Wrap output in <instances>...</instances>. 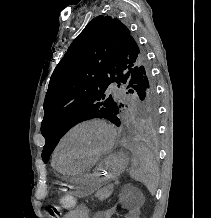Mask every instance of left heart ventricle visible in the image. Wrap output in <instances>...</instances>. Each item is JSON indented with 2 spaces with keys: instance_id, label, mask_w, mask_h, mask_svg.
I'll return each mask as SVG.
<instances>
[{
  "instance_id": "left-heart-ventricle-1",
  "label": "left heart ventricle",
  "mask_w": 211,
  "mask_h": 218,
  "mask_svg": "<svg viewBox=\"0 0 211 218\" xmlns=\"http://www.w3.org/2000/svg\"><path fill=\"white\" fill-rule=\"evenodd\" d=\"M109 141L107 132L97 125H88L72 133L63 142L59 164L82 165L91 161Z\"/></svg>"
}]
</instances>
